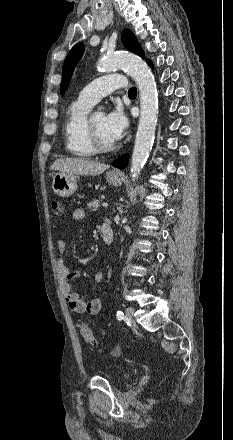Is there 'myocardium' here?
Segmentation results:
<instances>
[{"mask_svg": "<svg viewBox=\"0 0 233 440\" xmlns=\"http://www.w3.org/2000/svg\"><path fill=\"white\" fill-rule=\"evenodd\" d=\"M86 131L89 141L96 152L106 153L114 151L118 147L116 141L111 143L104 142L98 135L92 121V116L87 118Z\"/></svg>", "mask_w": 233, "mask_h": 440, "instance_id": "1", "label": "myocardium"}]
</instances>
